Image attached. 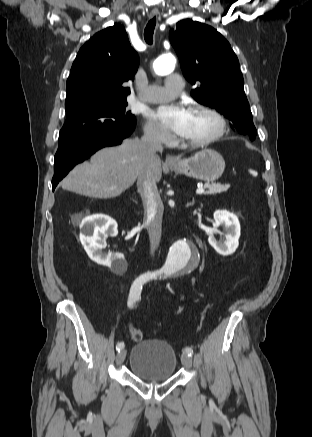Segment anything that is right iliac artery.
Wrapping results in <instances>:
<instances>
[{"label": "right iliac artery", "mask_w": 312, "mask_h": 437, "mask_svg": "<svg viewBox=\"0 0 312 437\" xmlns=\"http://www.w3.org/2000/svg\"><path fill=\"white\" fill-rule=\"evenodd\" d=\"M153 277L154 276L152 274H142L138 278H136V280L133 282L130 288L129 298L127 302L129 308H133L135 302L140 300L143 285ZM123 348H124L123 342L117 343L116 350L118 352Z\"/></svg>", "instance_id": "obj_1"}]
</instances>
